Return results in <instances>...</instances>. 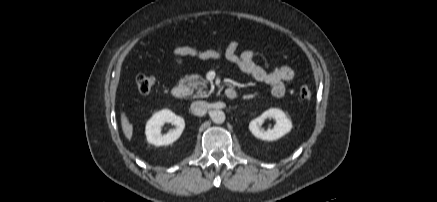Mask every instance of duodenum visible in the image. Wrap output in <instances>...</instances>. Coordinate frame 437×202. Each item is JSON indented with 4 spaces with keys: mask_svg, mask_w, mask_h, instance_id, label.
<instances>
[{
    "mask_svg": "<svg viewBox=\"0 0 437 202\" xmlns=\"http://www.w3.org/2000/svg\"><path fill=\"white\" fill-rule=\"evenodd\" d=\"M171 93H172L174 98L181 99L185 95V88L183 85L177 84V85L173 86ZM237 94H238L237 90L235 88H232V87H229V88L225 89V91H224V95L228 99L236 98Z\"/></svg>",
    "mask_w": 437,
    "mask_h": 202,
    "instance_id": "duodenum-1",
    "label": "duodenum"
}]
</instances>
